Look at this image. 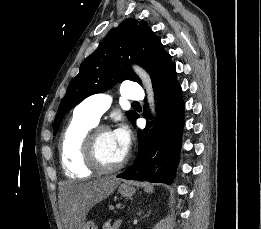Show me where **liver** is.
Instances as JSON below:
<instances>
[{
  "label": "liver",
  "mask_w": 261,
  "mask_h": 229,
  "mask_svg": "<svg viewBox=\"0 0 261 229\" xmlns=\"http://www.w3.org/2000/svg\"><path fill=\"white\" fill-rule=\"evenodd\" d=\"M120 179L113 177H102V179H93L87 183H73L67 189V201L65 205V219L68 229H81L87 213L96 203H101L109 195L114 193Z\"/></svg>",
  "instance_id": "liver-1"
}]
</instances>
